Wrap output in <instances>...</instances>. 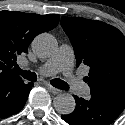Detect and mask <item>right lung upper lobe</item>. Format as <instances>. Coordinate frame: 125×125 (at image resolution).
<instances>
[{
    "instance_id": "right-lung-upper-lobe-1",
    "label": "right lung upper lobe",
    "mask_w": 125,
    "mask_h": 125,
    "mask_svg": "<svg viewBox=\"0 0 125 125\" xmlns=\"http://www.w3.org/2000/svg\"><path fill=\"white\" fill-rule=\"evenodd\" d=\"M59 18L57 14L0 11V83L21 79L13 70L16 56L28 51L36 35L55 28Z\"/></svg>"
}]
</instances>
